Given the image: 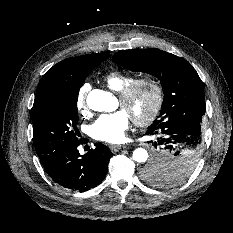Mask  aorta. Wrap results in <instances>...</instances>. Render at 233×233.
<instances>
[{"instance_id": "obj_1", "label": "aorta", "mask_w": 233, "mask_h": 233, "mask_svg": "<svg viewBox=\"0 0 233 233\" xmlns=\"http://www.w3.org/2000/svg\"><path fill=\"white\" fill-rule=\"evenodd\" d=\"M87 105L90 109L99 112H112L117 108V99L109 92L94 89L87 95ZM166 154L161 155L165 161ZM148 159V152L143 148H137L133 152V160L138 163H144Z\"/></svg>"}]
</instances>
